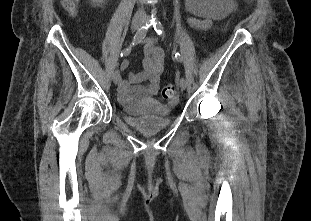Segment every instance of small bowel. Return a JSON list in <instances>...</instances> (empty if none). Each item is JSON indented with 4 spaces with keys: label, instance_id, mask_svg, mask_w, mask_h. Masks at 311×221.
Masks as SVG:
<instances>
[{
    "label": "small bowel",
    "instance_id": "obj_1",
    "mask_svg": "<svg viewBox=\"0 0 311 221\" xmlns=\"http://www.w3.org/2000/svg\"><path fill=\"white\" fill-rule=\"evenodd\" d=\"M188 23L193 29L204 31L210 28L212 20L189 17ZM142 47L144 52L142 69L131 72L128 78L120 83V96L125 100L129 98L131 88L137 89L143 97H152L158 92L160 77L164 69L165 51L151 38L146 39Z\"/></svg>",
    "mask_w": 311,
    "mask_h": 221
}]
</instances>
